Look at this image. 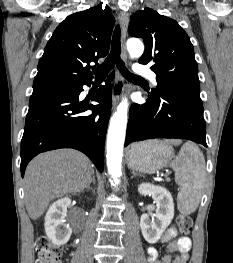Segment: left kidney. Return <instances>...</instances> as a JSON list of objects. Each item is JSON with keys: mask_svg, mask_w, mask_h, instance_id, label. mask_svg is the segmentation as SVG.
I'll list each match as a JSON object with an SVG mask.
<instances>
[{"mask_svg": "<svg viewBox=\"0 0 233 263\" xmlns=\"http://www.w3.org/2000/svg\"><path fill=\"white\" fill-rule=\"evenodd\" d=\"M138 192L143 196H152L156 203L155 214L144 213L140 218V227L144 239L148 243L154 244L161 238L174 217L173 198L166 188L150 183L140 184Z\"/></svg>", "mask_w": 233, "mask_h": 263, "instance_id": "1", "label": "left kidney"}]
</instances>
